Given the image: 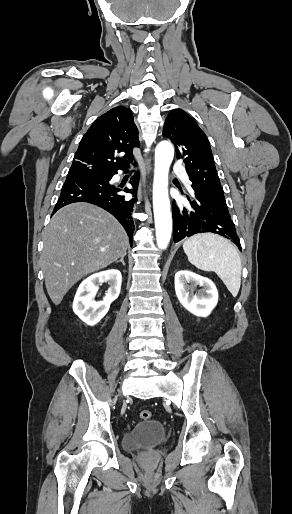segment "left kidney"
Instances as JSON below:
<instances>
[{
	"label": "left kidney",
	"mask_w": 292,
	"mask_h": 514,
	"mask_svg": "<svg viewBox=\"0 0 292 514\" xmlns=\"http://www.w3.org/2000/svg\"><path fill=\"white\" fill-rule=\"evenodd\" d=\"M188 284H192V286H188ZM194 286H203V290H199L195 296L192 294ZM175 292L180 304L188 312L194 316H201V318L209 316L218 302L215 284L208 278H203V276H198L188 270H180L175 274Z\"/></svg>",
	"instance_id": "left-kidney-1"
}]
</instances>
